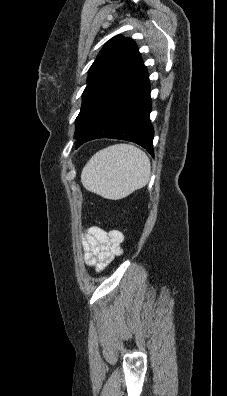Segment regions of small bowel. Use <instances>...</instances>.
<instances>
[{"label":"small bowel","mask_w":227,"mask_h":396,"mask_svg":"<svg viewBox=\"0 0 227 396\" xmlns=\"http://www.w3.org/2000/svg\"><path fill=\"white\" fill-rule=\"evenodd\" d=\"M123 234L118 230L105 231L93 226L81 238L86 265L102 271L116 256L122 253Z\"/></svg>","instance_id":"1"}]
</instances>
